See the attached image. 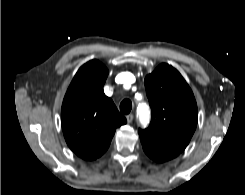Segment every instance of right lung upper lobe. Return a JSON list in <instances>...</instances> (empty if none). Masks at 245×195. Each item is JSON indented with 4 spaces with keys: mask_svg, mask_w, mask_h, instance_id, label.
Here are the masks:
<instances>
[{
    "mask_svg": "<svg viewBox=\"0 0 245 195\" xmlns=\"http://www.w3.org/2000/svg\"><path fill=\"white\" fill-rule=\"evenodd\" d=\"M107 76V68L98 60L87 62L74 76L63 100L65 140L85 160L100 157L108 149L116 128L127 122L103 92Z\"/></svg>",
    "mask_w": 245,
    "mask_h": 195,
    "instance_id": "right-lung-upper-lobe-1",
    "label": "right lung upper lobe"
}]
</instances>
